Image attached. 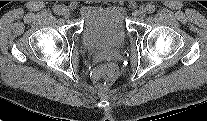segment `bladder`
<instances>
[{
	"mask_svg": "<svg viewBox=\"0 0 207 121\" xmlns=\"http://www.w3.org/2000/svg\"><path fill=\"white\" fill-rule=\"evenodd\" d=\"M82 42L88 49L122 46L127 37L126 9L121 4H89L80 10Z\"/></svg>",
	"mask_w": 207,
	"mask_h": 121,
	"instance_id": "31cf9c89",
	"label": "bladder"
}]
</instances>
